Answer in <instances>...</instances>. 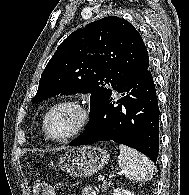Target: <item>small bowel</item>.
I'll list each match as a JSON object with an SVG mask.
<instances>
[{"mask_svg": "<svg viewBox=\"0 0 189 195\" xmlns=\"http://www.w3.org/2000/svg\"><path fill=\"white\" fill-rule=\"evenodd\" d=\"M82 195H96V192L92 187H85L82 191Z\"/></svg>", "mask_w": 189, "mask_h": 195, "instance_id": "1", "label": "small bowel"}]
</instances>
